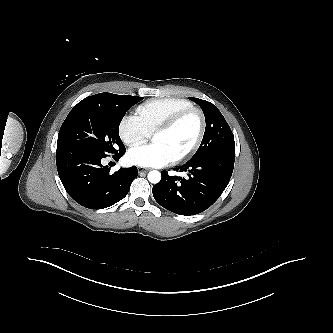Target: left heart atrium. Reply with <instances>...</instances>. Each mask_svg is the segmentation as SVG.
Returning <instances> with one entry per match:
<instances>
[{"label": "left heart atrium", "instance_id": "1", "mask_svg": "<svg viewBox=\"0 0 333 333\" xmlns=\"http://www.w3.org/2000/svg\"><path fill=\"white\" fill-rule=\"evenodd\" d=\"M126 160L129 164L140 167H162L172 158L161 144L153 143L130 149L127 152Z\"/></svg>", "mask_w": 333, "mask_h": 333}]
</instances>
